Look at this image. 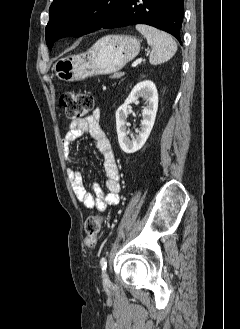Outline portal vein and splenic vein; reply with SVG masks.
<instances>
[{
    "mask_svg": "<svg viewBox=\"0 0 240 329\" xmlns=\"http://www.w3.org/2000/svg\"><path fill=\"white\" fill-rule=\"evenodd\" d=\"M143 58H138L136 61H134L132 63V67H136L138 66V64H140L142 62Z\"/></svg>",
    "mask_w": 240,
    "mask_h": 329,
    "instance_id": "18ae733b",
    "label": "portal vein and splenic vein"
}]
</instances>
